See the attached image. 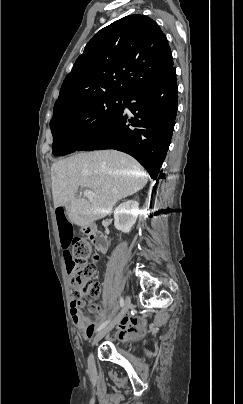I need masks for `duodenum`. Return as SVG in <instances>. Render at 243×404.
I'll return each mask as SVG.
<instances>
[{"instance_id":"410a0bca","label":"duodenum","mask_w":243,"mask_h":404,"mask_svg":"<svg viewBox=\"0 0 243 404\" xmlns=\"http://www.w3.org/2000/svg\"><path fill=\"white\" fill-rule=\"evenodd\" d=\"M85 232L94 243L96 248L101 252L105 253L107 250V239L102 232H100L95 226L91 225L86 227Z\"/></svg>"}]
</instances>
